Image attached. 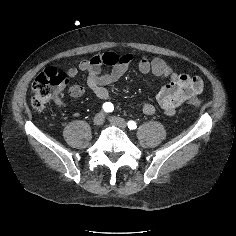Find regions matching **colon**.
Returning <instances> with one entry per match:
<instances>
[{
  "label": "colon",
  "mask_w": 236,
  "mask_h": 236,
  "mask_svg": "<svg viewBox=\"0 0 236 236\" xmlns=\"http://www.w3.org/2000/svg\"><path fill=\"white\" fill-rule=\"evenodd\" d=\"M68 81L67 74L58 71L56 68L50 67L42 71L34 79L31 87L33 108L43 109L50 100L58 96ZM187 104L193 109H197L201 105V100L191 97L187 100Z\"/></svg>",
  "instance_id": "5ec220e1"
}]
</instances>
